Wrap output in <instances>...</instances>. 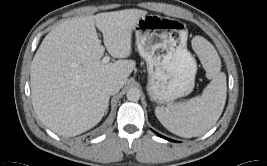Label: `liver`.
Instances as JSON below:
<instances>
[{"instance_id": "liver-1", "label": "liver", "mask_w": 267, "mask_h": 166, "mask_svg": "<svg viewBox=\"0 0 267 166\" xmlns=\"http://www.w3.org/2000/svg\"><path fill=\"white\" fill-rule=\"evenodd\" d=\"M147 14L125 9L73 18L45 36L31 63L30 87L33 108L50 130L71 137L101 121L110 98L105 84H126L136 66L125 59L131 55L132 31ZM105 48L120 60L103 64Z\"/></svg>"}]
</instances>
